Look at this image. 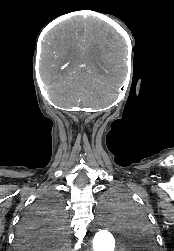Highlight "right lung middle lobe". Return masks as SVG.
Instances as JSON below:
<instances>
[{"label": "right lung middle lobe", "mask_w": 174, "mask_h": 251, "mask_svg": "<svg viewBox=\"0 0 174 251\" xmlns=\"http://www.w3.org/2000/svg\"><path fill=\"white\" fill-rule=\"evenodd\" d=\"M64 216L60 195L56 192H48L36 201L25 219L41 218L48 221L54 228L62 229Z\"/></svg>", "instance_id": "obj_1"}]
</instances>
